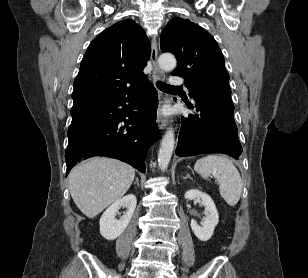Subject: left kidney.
Instances as JSON below:
<instances>
[{"label": "left kidney", "mask_w": 308, "mask_h": 278, "mask_svg": "<svg viewBox=\"0 0 308 278\" xmlns=\"http://www.w3.org/2000/svg\"><path fill=\"white\" fill-rule=\"evenodd\" d=\"M185 198L194 200L201 198L202 205L205 207L206 218L202 226L198 225L196 221H191V228L196 237L201 241H208L214 232L216 225L219 222V215L215 203L212 198L199 190H189L185 193Z\"/></svg>", "instance_id": "1"}]
</instances>
